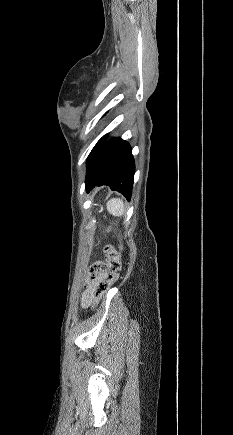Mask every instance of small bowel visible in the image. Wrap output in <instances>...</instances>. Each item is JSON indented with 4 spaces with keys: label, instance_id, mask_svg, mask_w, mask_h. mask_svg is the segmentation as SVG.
Returning <instances> with one entry per match:
<instances>
[{
    "label": "small bowel",
    "instance_id": "small-bowel-1",
    "mask_svg": "<svg viewBox=\"0 0 233 435\" xmlns=\"http://www.w3.org/2000/svg\"><path fill=\"white\" fill-rule=\"evenodd\" d=\"M101 277L102 278L108 277V273L102 274ZM95 289H96V285H91L83 292L81 301L84 306H89L94 300Z\"/></svg>",
    "mask_w": 233,
    "mask_h": 435
}]
</instances>
